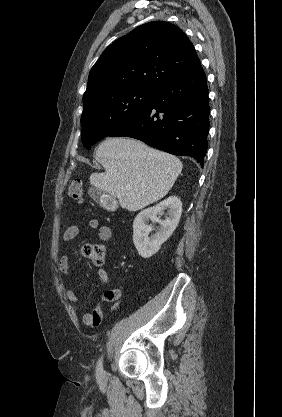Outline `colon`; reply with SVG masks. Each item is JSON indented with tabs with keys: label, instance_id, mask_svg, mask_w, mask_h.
<instances>
[{
	"label": "colon",
	"instance_id": "5ec220e1",
	"mask_svg": "<svg viewBox=\"0 0 282 417\" xmlns=\"http://www.w3.org/2000/svg\"><path fill=\"white\" fill-rule=\"evenodd\" d=\"M67 194L70 198L81 201L83 197V186L81 183L73 181L68 185ZM82 254L94 261L96 264L100 265L104 263L105 260V250L102 246L87 245L82 249Z\"/></svg>",
	"mask_w": 282,
	"mask_h": 417
}]
</instances>
